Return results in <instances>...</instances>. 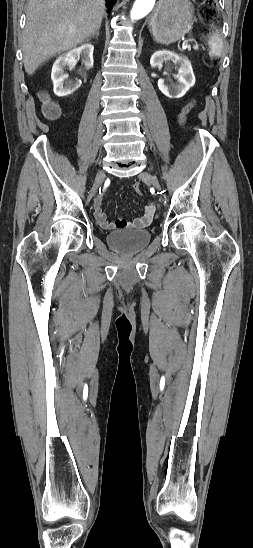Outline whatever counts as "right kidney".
Segmentation results:
<instances>
[{"label":"right kidney","instance_id":"right-kidney-1","mask_svg":"<svg viewBox=\"0 0 253 548\" xmlns=\"http://www.w3.org/2000/svg\"><path fill=\"white\" fill-rule=\"evenodd\" d=\"M93 51L94 46L90 43L74 48L68 53L60 55L53 64L51 79L53 81L54 93L59 97H65L76 91L80 85V80L68 81L64 73L65 67H74L77 61L82 58L87 69L93 67Z\"/></svg>","mask_w":253,"mask_h":548}]
</instances>
